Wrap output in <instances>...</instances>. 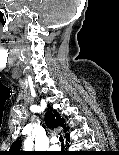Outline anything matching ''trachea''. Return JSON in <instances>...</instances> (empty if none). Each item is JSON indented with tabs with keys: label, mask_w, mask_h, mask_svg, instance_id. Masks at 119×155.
<instances>
[{
	"label": "trachea",
	"mask_w": 119,
	"mask_h": 155,
	"mask_svg": "<svg viewBox=\"0 0 119 155\" xmlns=\"http://www.w3.org/2000/svg\"><path fill=\"white\" fill-rule=\"evenodd\" d=\"M59 142L63 145L64 144V139L62 136L59 137Z\"/></svg>",
	"instance_id": "trachea-1"
}]
</instances>
